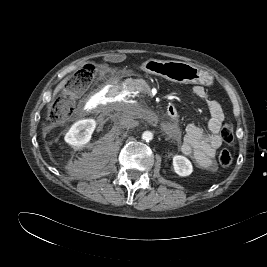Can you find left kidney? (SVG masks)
<instances>
[{
  "mask_svg": "<svg viewBox=\"0 0 267 267\" xmlns=\"http://www.w3.org/2000/svg\"><path fill=\"white\" fill-rule=\"evenodd\" d=\"M173 168L179 176H189L193 172V166L190 160L182 155L173 157Z\"/></svg>",
  "mask_w": 267,
  "mask_h": 267,
  "instance_id": "obj_1",
  "label": "left kidney"
}]
</instances>
